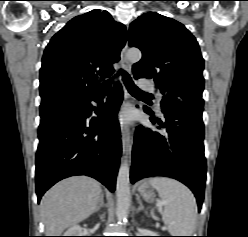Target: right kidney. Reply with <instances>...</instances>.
Returning a JSON list of instances; mask_svg holds the SVG:
<instances>
[{
	"instance_id": "ca27d5eb",
	"label": "right kidney",
	"mask_w": 248,
	"mask_h": 237,
	"mask_svg": "<svg viewBox=\"0 0 248 237\" xmlns=\"http://www.w3.org/2000/svg\"><path fill=\"white\" fill-rule=\"evenodd\" d=\"M63 236H82V228L79 225H74Z\"/></svg>"
}]
</instances>
